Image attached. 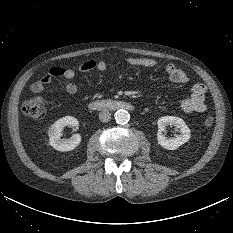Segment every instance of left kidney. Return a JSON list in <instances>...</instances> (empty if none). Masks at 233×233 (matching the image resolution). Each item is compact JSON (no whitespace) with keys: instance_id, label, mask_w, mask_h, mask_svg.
Returning <instances> with one entry per match:
<instances>
[{"instance_id":"5707ae66","label":"left kidney","mask_w":233,"mask_h":233,"mask_svg":"<svg viewBox=\"0 0 233 233\" xmlns=\"http://www.w3.org/2000/svg\"><path fill=\"white\" fill-rule=\"evenodd\" d=\"M158 132H157V140L158 144L161 147L167 150H175L182 144L188 142L190 138V129L179 117L175 116H164L158 119ZM173 125L176 127V130L180 132V134L175 135L174 137H165L163 134L166 126Z\"/></svg>"}]
</instances>
